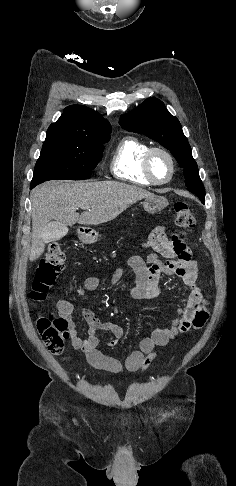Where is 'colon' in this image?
I'll return each instance as SVG.
<instances>
[{"label": "colon", "instance_id": "1", "mask_svg": "<svg viewBox=\"0 0 236 486\" xmlns=\"http://www.w3.org/2000/svg\"><path fill=\"white\" fill-rule=\"evenodd\" d=\"M175 222L180 231L185 234L194 227L195 217L184 201H178L174 205ZM65 266V254L59 244H51L43 259L36 268L35 278L30 292L33 301H42L49 290L56 284L58 275ZM37 329L42 341L54 354L64 351L69 333L67 323L62 318L52 315L41 317L37 321Z\"/></svg>", "mask_w": 236, "mask_h": 486}]
</instances>
